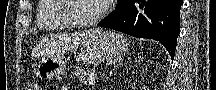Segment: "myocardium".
<instances>
[{"label": "myocardium", "mask_w": 216, "mask_h": 90, "mask_svg": "<svg viewBox=\"0 0 216 90\" xmlns=\"http://www.w3.org/2000/svg\"><path fill=\"white\" fill-rule=\"evenodd\" d=\"M72 3H74V0H61L62 8H59V11H57L59 18H64L72 28H92L105 17L109 9L108 4L105 1H101L100 11L95 17L90 20L80 21L71 15Z\"/></svg>", "instance_id": "myocardium-1"}]
</instances>
